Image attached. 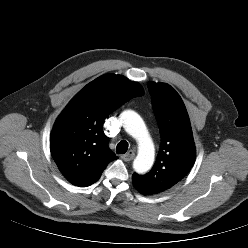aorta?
Wrapping results in <instances>:
<instances>
[{
	"instance_id": "1",
	"label": "aorta",
	"mask_w": 248,
	"mask_h": 248,
	"mask_svg": "<svg viewBox=\"0 0 248 248\" xmlns=\"http://www.w3.org/2000/svg\"><path fill=\"white\" fill-rule=\"evenodd\" d=\"M125 131L138 143V155L134 159L133 168L138 173H145L151 169L155 148L143 119L134 111L127 110L122 114Z\"/></svg>"
}]
</instances>
